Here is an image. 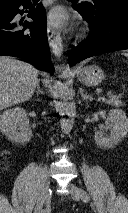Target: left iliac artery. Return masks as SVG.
<instances>
[{"label":"left iliac artery","mask_w":128,"mask_h":213,"mask_svg":"<svg viewBox=\"0 0 128 213\" xmlns=\"http://www.w3.org/2000/svg\"><path fill=\"white\" fill-rule=\"evenodd\" d=\"M79 191H80L82 200L84 202H88L90 200V197H89L88 193L85 190H83V189H79Z\"/></svg>","instance_id":"obj_1"}]
</instances>
